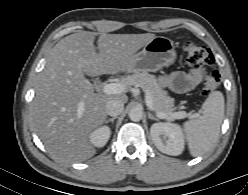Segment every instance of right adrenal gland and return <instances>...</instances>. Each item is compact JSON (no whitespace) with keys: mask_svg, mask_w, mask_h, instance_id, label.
<instances>
[{"mask_svg":"<svg viewBox=\"0 0 248 195\" xmlns=\"http://www.w3.org/2000/svg\"><path fill=\"white\" fill-rule=\"evenodd\" d=\"M117 117H112V118H109V119H107L106 121H105V123L107 124V123H109V122H114V120L116 119Z\"/></svg>","mask_w":248,"mask_h":195,"instance_id":"2a0ac1e0","label":"right adrenal gland"}]
</instances>
